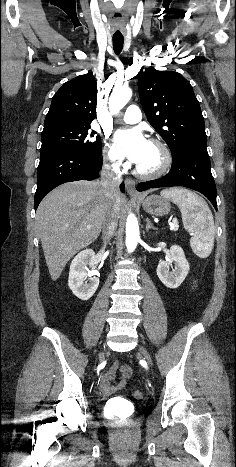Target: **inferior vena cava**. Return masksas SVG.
I'll return each instance as SVG.
<instances>
[{
  "instance_id": "inferior-vena-cava-1",
  "label": "inferior vena cava",
  "mask_w": 236,
  "mask_h": 467,
  "mask_svg": "<svg viewBox=\"0 0 236 467\" xmlns=\"http://www.w3.org/2000/svg\"><path fill=\"white\" fill-rule=\"evenodd\" d=\"M121 182L122 176L119 169L114 165L104 164L101 172V185L108 199H114L118 193V187ZM117 217V206L114 202H111L102 226L105 243L113 236L117 228Z\"/></svg>"
}]
</instances>
